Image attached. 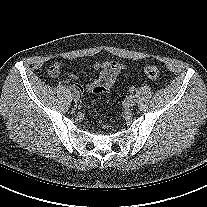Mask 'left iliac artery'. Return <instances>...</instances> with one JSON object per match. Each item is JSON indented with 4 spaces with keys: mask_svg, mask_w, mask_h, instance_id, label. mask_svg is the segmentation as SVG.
<instances>
[{
    "mask_svg": "<svg viewBox=\"0 0 207 207\" xmlns=\"http://www.w3.org/2000/svg\"><path fill=\"white\" fill-rule=\"evenodd\" d=\"M129 91H130V92H134V91H135V88H134V87H131V88L129 89Z\"/></svg>",
    "mask_w": 207,
    "mask_h": 207,
    "instance_id": "1",
    "label": "left iliac artery"
}]
</instances>
